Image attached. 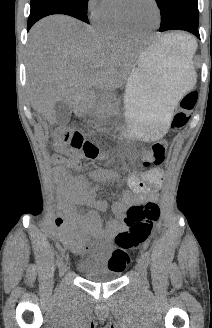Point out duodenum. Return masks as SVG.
I'll return each instance as SVG.
<instances>
[{"mask_svg": "<svg viewBox=\"0 0 212 328\" xmlns=\"http://www.w3.org/2000/svg\"><path fill=\"white\" fill-rule=\"evenodd\" d=\"M89 100V95L85 94L81 96L74 104V113L80 114L83 110L85 103Z\"/></svg>", "mask_w": 212, "mask_h": 328, "instance_id": "duodenum-1", "label": "duodenum"}]
</instances>
